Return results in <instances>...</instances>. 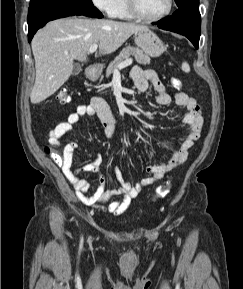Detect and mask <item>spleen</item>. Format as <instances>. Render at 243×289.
I'll list each match as a JSON object with an SVG mask.
<instances>
[{
    "label": "spleen",
    "instance_id": "obj_1",
    "mask_svg": "<svg viewBox=\"0 0 243 289\" xmlns=\"http://www.w3.org/2000/svg\"><path fill=\"white\" fill-rule=\"evenodd\" d=\"M182 70L186 73L190 72V66L186 61L182 63Z\"/></svg>",
    "mask_w": 243,
    "mask_h": 289
}]
</instances>
